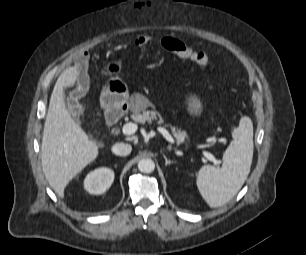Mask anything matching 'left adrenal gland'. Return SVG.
I'll return each mask as SVG.
<instances>
[{
  "label": "left adrenal gland",
  "mask_w": 306,
  "mask_h": 255,
  "mask_svg": "<svg viewBox=\"0 0 306 255\" xmlns=\"http://www.w3.org/2000/svg\"><path fill=\"white\" fill-rule=\"evenodd\" d=\"M163 158L165 159V165L168 166L170 164H175L176 161H173V160H169L166 155L163 154Z\"/></svg>",
  "instance_id": "a2214340"
}]
</instances>
